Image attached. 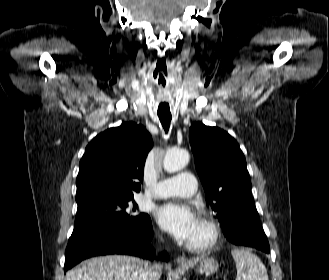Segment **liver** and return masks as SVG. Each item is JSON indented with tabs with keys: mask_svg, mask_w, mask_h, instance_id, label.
<instances>
[{
	"mask_svg": "<svg viewBox=\"0 0 329 280\" xmlns=\"http://www.w3.org/2000/svg\"><path fill=\"white\" fill-rule=\"evenodd\" d=\"M146 261L123 255H107L88 259L66 274L65 280H139ZM161 267L156 273L159 280Z\"/></svg>",
	"mask_w": 329,
	"mask_h": 280,
	"instance_id": "obj_1",
	"label": "liver"
}]
</instances>
